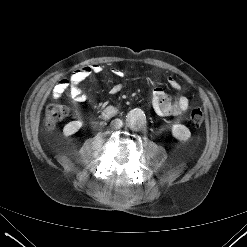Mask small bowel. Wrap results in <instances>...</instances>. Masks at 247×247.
<instances>
[{
    "label": "small bowel",
    "mask_w": 247,
    "mask_h": 247,
    "mask_svg": "<svg viewBox=\"0 0 247 247\" xmlns=\"http://www.w3.org/2000/svg\"><path fill=\"white\" fill-rule=\"evenodd\" d=\"M103 67L99 64H90L77 69L69 79L60 80L53 88V98L60 99L63 94L68 91L72 100L76 103L86 101V95L81 89V83L93 74H100ZM111 72L114 76L121 78L123 72L118 68H112ZM169 85L177 90L179 85L175 78H168ZM123 89L122 83H115L110 88L111 94H117ZM189 100L186 96H180L173 100L172 96L163 88L156 87L152 94V106L157 115L162 117L178 116L185 112L188 108Z\"/></svg>",
    "instance_id": "obj_1"
}]
</instances>
